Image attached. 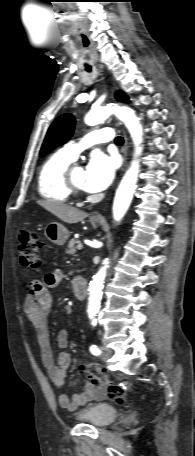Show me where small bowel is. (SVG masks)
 <instances>
[{"label": "small bowel", "instance_id": "c3829d8e", "mask_svg": "<svg viewBox=\"0 0 195 456\" xmlns=\"http://www.w3.org/2000/svg\"><path fill=\"white\" fill-rule=\"evenodd\" d=\"M64 278L61 270L47 273L42 281L33 280L27 288L24 299V311L31 322L38 341L40 357L48 376L57 392V400L61 407L76 409L88 402L101 400L106 397L104 386H98L92 381H86L84 391L69 397L63 391L64 379L70 365V354L65 351L69 345V332L62 330L57 335V343L62 351L54 362L48 329V316L53 304V295L50 292L60 284Z\"/></svg>", "mask_w": 195, "mask_h": 456}]
</instances>
